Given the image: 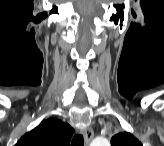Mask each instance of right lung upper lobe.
Instances as JSON below:
<instances>
[{
    "label": "right lung upper lobe",
    "instance_id": "1",
    "mask_svg": "<svg viewBox=\"0 0 164 146\" xmlns=\"http://www.w3.org/2000/svg\"><path fill=\"white\" fill-rule=\"evenodd\" d=\"M73 132L69 124L49 118L22 136L16 146H69Z\"/></svg>",
    "mask_w": 164,
    "mask_h": 146
}]
</instances>
